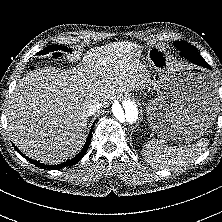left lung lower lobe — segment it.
Returning <instances> with one entry per match:
<instances>
[{"label": "left lung lower lobe", "instance_id": "left-lung-lower-lobe-1", "mask_svg": "<svg viewBox=\"0 0 222 222\" xmlns=\"http://www.w3.org/2000/svg\"><path fill=\"white\" fill-rule=\"evenodd\" d=\"M186 59L192 61L193 63H195L196 65L202 66V67H206L208 69H211L210 65L208 63L204 64L201 63L199 60H197L196 58L192 57V56H187L185 57Z\"/></svg>", "mask_w": 222, "mask_h": 222}]
</instances>
